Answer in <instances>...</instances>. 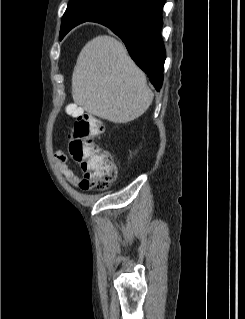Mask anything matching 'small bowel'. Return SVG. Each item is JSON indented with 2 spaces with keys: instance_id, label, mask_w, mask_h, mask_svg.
Masks as SVG:
<instances>
[{
  "instance_id": "c3829d8e",
  "label": "small bowel",
  "mask_w": 245,
  "mask_h": 319,
  "mask_svg": "<svg viewBox=\"0 0 245 319\" xmlns=\"http://www.w3.org/2000/svg\"><path fill=\"white\" fill-rule=\"evenodd\" d=\"M55 163L60 172L74 186L80 184V177L71 169L67 162V157L62 150L55 152Z\"/></svg>"
}]
</instances>
